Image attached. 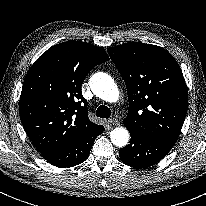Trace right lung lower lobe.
Returning a JSON list of instances; mask_svg holds the SVG:
<instances>
[{"mask_svg": "<svg viewBox=\"0 0 206 206\" xmlns=\"http://www.w3.org/2000/svg\"><path fill=\"white\" fill-rule=\"evenodd\" d=\"M103 131L104 128L101 126L99 129L75 144L55 152L43 154V157L49 163L57 167L66 168L76 166L85 161L90 153L96 137Z\"/></svg>", "mask_w": 206, "mask_h": 206, "instance_id": "obj_1", "label": "right lung lower lobe"}]
</instances>
